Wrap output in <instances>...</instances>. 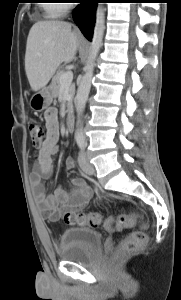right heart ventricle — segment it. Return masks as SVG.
<instances>
[{
  "label": "right heart ventricle",
  "mask_w": 181,
  "mask_h": 300,
  "mask_svg": "<svg viewBox=\"0 0 181 300\" xmlns=\"http://www.w3.org/2000/svg\"><path fill=\"white\" fill-rule=\"evenodd\" d=\"M44 10L47 17L57 18L62 16L66 12L67 6L63 3L54 1L53 3L44 4Z\"/></svg>",
  "instance_id": "right-heart-ventricle-1"
}]
</instances>
